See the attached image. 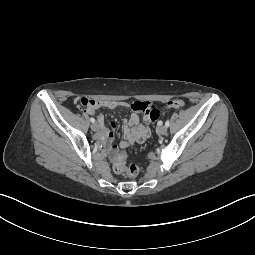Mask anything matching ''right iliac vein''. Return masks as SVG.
I'll use <instances>...</instances> for the list:
<instances>
[{"mask_svg":"<svg viewBox=\"0 0 255 255\" xmlns=\"http://www.w3.org/2000/svg\"><path fill=\"white\" fill-rule=\"evenodd\" d=\"M91 129L93 130V131H98V129H99V125H98V123H93L92 125H91Z\"/></svg>","mask_w":255,"mask_h":255,"instance_id":"right-iliac-vein-1","label":"right iliac vein"}]
</instances>
